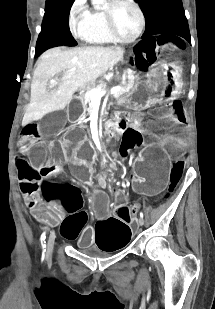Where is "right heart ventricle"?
Returning <instances> with one entry per match:
<instances>
[{"label":"right heart ventricle","mask_w":215,"mask_h":309,"mask_svg":"<svg viewBox=\"0 0 215 309\" xmlns=\"http://www.w3.org/2000/svg\"><path fill=\"white\" fill-rule=\"evenodd\" d=\"M82 32L90 42H110V35L100 14H93L91 19H85Z\"/></svg>","instance_id":"1"}]
</instances>
